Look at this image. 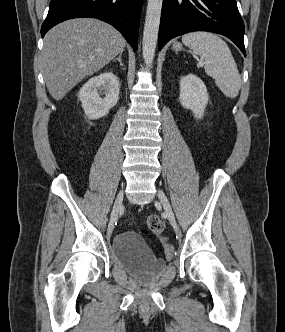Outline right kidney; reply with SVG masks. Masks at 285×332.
Segmentation results:
<instances>
[{
    "instance_id": "ca27d5eb",
    "label": "right kidney",
    "mask_w": 285,
    "mask_h": 332,
    "mask_svg": "<svg viewBox=\"0 0 285 332\" xmlns=\"http://www.w3.org/2000/svg\"><path fill=\"white\" fill-rule=\"evenodd\" d=\"M119 90V81L112 72L101 73L89 79L78 94L85 115L90 119L106 116L117 104Z\"/></svg>"
}]
</instances>
